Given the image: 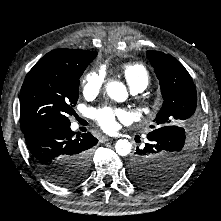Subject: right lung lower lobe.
Wrapping results in <instances>:
<instances>
[{"instance_id":"right-lung-lower-lobe-1","label":"right lung lower lobe","mask_w":221,"mask_h":221,"mask_svg":"<svg viewBox=\"0 0 221 221\" xmlns=\"http://www.w3.org/2000/svg\"><path fill=\"white\" fill-rule=\"evenodd\" d=\"M23 133L36 166L49 180L58 178L51 170L61 168L70 158L90 154L98 142L89 132L73 137L70 122H45Z\"/></svg>"}]
</instances>
